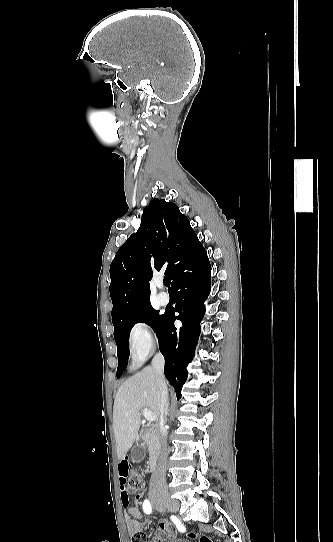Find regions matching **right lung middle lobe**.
<instances>
[{"label":"right lung middle lobe","mask_w":333,"mask_h":542,"mask_svg":"<svg viewBox=\"0 0 333 542\" xmlns=\"http://www.w3.org/2000/svg\"><path fill=\"white\" fill-rule=\"evenodd\" d=\"M164 317V314L160 315L159 311L155 310L151 304H149L112 320L114 325V339L117 344V378L122 375L127 366L129 356L128 339L132 327L138 322H145L157 332Z\"/></svg>","instance_id":"right-lung-middle-lobe-1"}]
</instances>
